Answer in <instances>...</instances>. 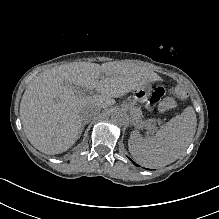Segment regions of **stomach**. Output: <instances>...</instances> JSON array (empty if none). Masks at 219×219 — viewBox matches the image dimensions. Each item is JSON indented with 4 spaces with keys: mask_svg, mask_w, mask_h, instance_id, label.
Returning <instances> with one entry per match:
<instances>
[{
    "mask_svg": "<svg viewBox=\"0 0 219 219\" xmlns=\"http://www.w3.org/2000/svg\"><path fill=\"white\" fill-rule=\"evenodd\" d=\"M151 90V86L149 85L140 86L135 89L134 97L139 101H143L150 95Z\"/></svg>",
    "mask_w": 219,
    "mask_h": 219,
    "instance_id": "stomach-1",
    "label": "stomach"
}]
</instances>
